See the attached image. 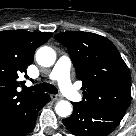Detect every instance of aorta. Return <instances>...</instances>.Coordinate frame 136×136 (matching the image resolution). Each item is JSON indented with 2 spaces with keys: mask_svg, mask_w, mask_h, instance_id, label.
Segmentation results:
<instances>
[{
  "mask_svg": "<svg viewBox=\"0 0 136 136\" xmlns=\"http://www.w3.org/2000/svg\"><path fill=\"white\" fill-rule=\"evenodd\" d=\"M36 61L43 67H50L56 61V53L51 47H40L36 52ZM55 111L60 117H67L72 113V105L68 101L61 100L56 104Z\"/></svg>",
  "mask_w": 136,
  "mask_h": 136,
  "instance_id": "obj_1",
  "label": "aorta"
}]
</instances>
